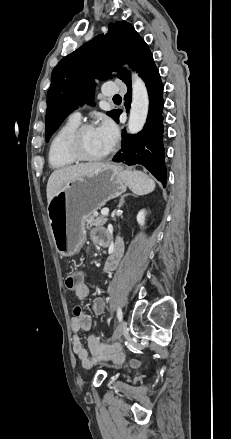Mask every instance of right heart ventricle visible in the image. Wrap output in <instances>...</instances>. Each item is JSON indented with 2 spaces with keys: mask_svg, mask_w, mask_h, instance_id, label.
Returning a JSON list of instances; mask_svg holds the SVG:
<instances>
[{
  "mask_svg": "<svg viewBox=\"0 0 231 439\" xmlns=\"http://www.w3.org/2000/svg\"><path fill=\"white\" fill-rule=\"evenodd\" d=\"M78 125L79 121L69 118L54 134L48 148V163L52 169H66L77 162L66 150V139Z\"/></svg>",
  "mask_w": 231,
  "mask_h": 439,
  "instance_id": "obj_1",
  "label": "right heart ventricle"
}]
</instances>
